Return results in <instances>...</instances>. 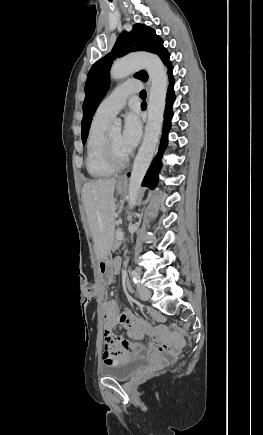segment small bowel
<instances>
[{"instance_id":"obj_1","label":"small bowel","mask_w":263,"mask_h":435,"mask_svg":"<svg viewBox=\"0 0 263 435\" xmlns=\"http://www.w3.org/2000/svg\"><path fill=\"white\" fill-rule=\"evenodd\" d=\"M110 268L117 274L121 268V259L115 258ZM153 316L158 320H164V318L157 313H154ZM103 319L104 332L108 328L114 330L118 325H121L134 337H141L147 334L151 340L167 341L164 347H158L156 349L152 344L146 346L143 341H130L114 334L115 339L111 350H103L104 363H117L141 355L144 352L157 354L158 356H167L168 354L173 356L176 350H183L184 348L183 341H176V332H160V330L153 328L149 323L135 314L129 311H120L114 300L106 302L103 311Z\"/></svg>"}]
</instances>
